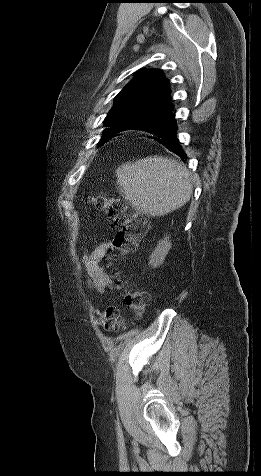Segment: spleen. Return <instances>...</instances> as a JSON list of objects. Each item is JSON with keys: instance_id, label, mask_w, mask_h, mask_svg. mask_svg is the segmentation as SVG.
I'll return each instance as SVG.
<instances>
[{"instance_id": "obj_1", "label": "spleen", "mask_w": 261, "mask_h": 476, "mask_svg": "<svg viewBox=\"0 0 261 476\" xmlns=\"http://www.w3.org/2000/svg\"><path fill=\"white\" fill-rule=\"evenodd\" d=\"M120 193L150 216H164L182 206L193 192L186 167L174 159L152 156L127 162L116 170Z\"/></svg>"}]
</instances>
